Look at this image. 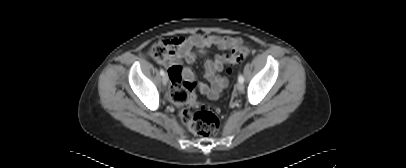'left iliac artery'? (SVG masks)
Returning <instances> with one entry per match:
<instances>
[{
    "mask_svg": "<svg viewBox=\"0 0 406 168\" xmlns=\"http://www.w3.org/2000/svg\"><path fill=\"white\" fill-rule=\"evenodd\" d=\"M238 81L241 83L244 82V77L241 74L238 76Z\"/></svg>",
    "mask_w": 406,
    "mask_h": 168,
    "instance_id": "1",
    "label": "left iliac artery"
}]
</instances>
